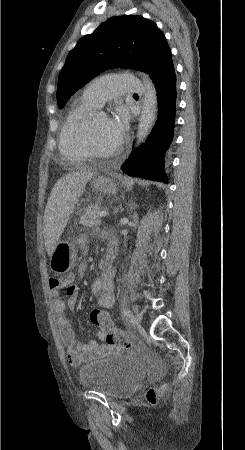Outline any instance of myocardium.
Returning <instances> with one entry per match:
<instances>
[{
  "instance_id": "obj_1",
  "label": "myocardium",
  "mask_w": 245,
  "mask_h": 450,
  "mask_svg": "<svg viewBox=\"0 0 245 450\" xmlns=\"http://www.w3.org/2000/svg\"><path fill=\"white\" fill-rule=\"evenodd\" d=\"M86 141H87V148L89 150L91 157H95V158L113 157V156L119 155L122 151L121 148L118 147L113 152H105L97 146V144L95 142V138H94V133H93L92 119H89L87 127H86Z\"/></svg>"
}]
</instances>
